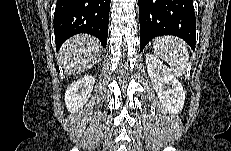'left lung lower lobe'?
<instances>
[{
    "instance_id": "1",
    "label": "left lung lower lobe",
    "mask_w": 231,
    "mask_h": 151,
    "mask_svg": "<svg viewBox=\"0 0 231 151\" xmlns=\"http://www.w3.org/2000/svg\"><path fill=\"white\" fill-rule=\"evenodd\" d=\"M140 51L153 38L174 35L195 49L196 18L193 0H138Z\"/></svg>"
}]
</instances>
